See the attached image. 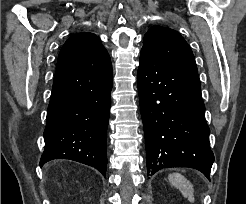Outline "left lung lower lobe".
Wrapping results in <instances>:
<instances>
[{
  "mask_svg": "<svg viewBox=\"0 0 246 204\" xmlns=\"http://www.w3.org/2000/svg\"><path fill=\"white\" fill-rule=\"evenodd\" d=\"M138 93L148 176L163 168L190 167L210 180L214 155L197 71L141 53Z\"/></svg>",
  "mask_w": 246,
  "mask_h": 204,
  "instance_id": "left-lung-lower-lobe-1",
  "label": "left lung lower lobe"
}]
</instances>
